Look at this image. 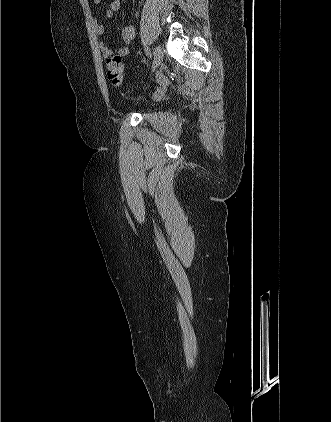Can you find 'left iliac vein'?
Instances as JSON below:
<instances>
[{"label": "left iliac vein", "mask_w": 331, "mask_h": 422, "mask_svg": "<svg viewBox=\"0 0 331 422\" xmlns=\"http://www.w3.org/2000/svg\"><path fill=\"white\" fill-rule=\"evenodd\" d=\"M163 59V52L160 46H156L154 49V61H153V70H155L161 63Z\"/></svg>", "instance_id": "4c4485c4"}]
</instances>
